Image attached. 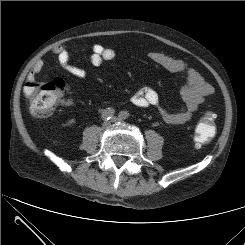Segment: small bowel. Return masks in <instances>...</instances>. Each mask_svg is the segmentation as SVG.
Returning a JSON list of instances; mask_svg holds the SVG:
<instances>
[{
    "label": "small bowel",
    "mask_w": 245,
    "mask_h": 245,
    "mask_svg": "<svg viewBox=\"0 0 245 245\" xmlns=\"http://www.w3.org/2000/svg\"><path fill=\"white\" fill-rule=\"evenodd\" d=\"M52 53L57 57L61 68L72 76L79 79H84L87 76L85 69L71 63L69 51L65 46L54 47ZM115 56L116 52L114 49L96 44L93 47L90 62L94 66H99L103 61H110ZM148 56L152 62L164 67L166 70L185 77V84L181 89L184 104L178 111L167 110L161 105L159 95L152 89H143L137 92L130 98L129 102L139 108H156L163 120L168 124L188 122L206 98L213 93V87L197 70L173 57L157 51L150 52ZM43 67V60H38L32 67L28 81H34Z\"/></svg>",
    "instance_id": "small-bowel-1"
}]
</instances>
